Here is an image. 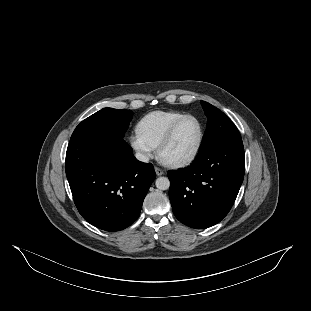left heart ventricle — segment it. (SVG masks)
Segmentation results:
<instances>
[{
	"label": "left heart ventricle",
	"mask_w": 311,
	"mask_h": 311,
	"mask_svg": "<svg viewBox=\"0 0 311 311\" xmlns=\"http://www.w3.org/2000/svg\"><path fill=\"white\" fill-rule=\"evenodd\" d=\"M201 134L200 123L189 118L178 128L172 143L164 150L163 159L168 162L189 158L197 148Z\"/></svg>",
	"instance_id": "1"
}]
</instances>
